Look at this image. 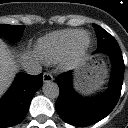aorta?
I'll use <instances>...</instances> for the list:
<instances>
[{"label": "aorta", "mask_w": 128, "mask_h": 128, "mask_svg": "<svg viewBox=\"0 0 128 128\" xmlns=\"http://www.w3.org/2000/svg\"><path fill=\"white\" fill-rule=\"evenodd\" d=\"M43 92L48 98L55 99L58 98L60 91L57 83L49 81L44 84Z\"/></svg>", "instance_id": "aorta-1"}]
</instances>
